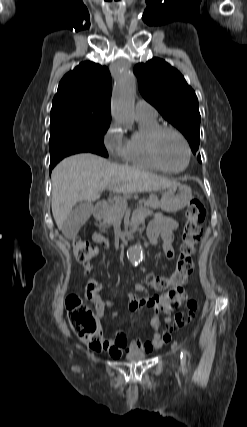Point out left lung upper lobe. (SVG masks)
Wrapping results in <instances>:
<instances>
[{"mask_svg": "<svg viewBox=\"0 0 247 427\" xmlns=\"http://www.w3.org/2000/svg\"><path fill=\"white\" fill-rule=\"evenodd\" d=\"M142 96L178 128L194 154L200 140V113L194 90L181 73L159 58L134 67ZM198 160L201 162L200 154Z\"/></svg>", "mask_w": 247, "mask_h": 427, "instance_id": "1", "label": "left lung upper lobe"}]
</instances>
